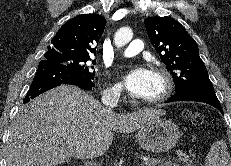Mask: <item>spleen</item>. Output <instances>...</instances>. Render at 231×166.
Listing matches in <instances>:
<instances>
[{"instance_id": "1", "label": "spleen", "mask_w": 231, "mask_h": 166, "mask_svg": "<svg viewBox=\"0 0 231 166\" xmlns=\"http://www.w3.org/2000/svg\"><path fill=\"white\" fill-rule=\"evenodd\" d=\"M205 166H231V158L224 140H216L205 158Z\"/></svg>"}]
</instances>
